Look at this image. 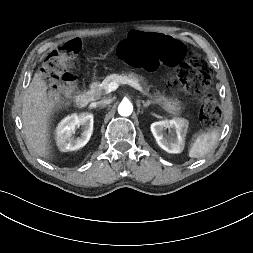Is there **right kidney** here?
I'll list each match as a JSON object with an SVG mask.
<instances>
[{"instance_id": "1", "label": "right kidney", "mask_w": 253, "mask_h": 253, "mask_svg": "<svg viewBox=\"0 0 253 253\" xmlns=\"http://www.w3.org/2000/svg\"><path fill=\"white\" fill-rule=\"evenodd\" d=\"M82 126L83 133L74 138L76 128ZM93 132V114H72L65 117L56 128L57 146L62 152L75 151L85 146Z\"/></svg>"}]
</instances>
